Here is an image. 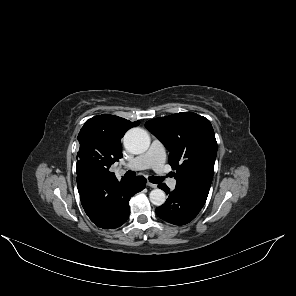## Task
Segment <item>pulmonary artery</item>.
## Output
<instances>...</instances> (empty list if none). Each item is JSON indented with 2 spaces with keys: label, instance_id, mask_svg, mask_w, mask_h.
I'll list each match as a JSON object with an SVG mask.
<instances>
[{
  "label": "pulmonary artery",
  "instance_id": "pulmonary-artery-1",
  "mask_svg": "<svg viewBox=\"0 0 296 296\" xmlns=\"http://www.w3.org/2000/svg\"><path fill=\"white\" fill-rule=\"evenodd\" d=\"M165 162V149L163 144L154 139L150 145V148L146 153L138 156L126 164L119 167V170H143V169H153L157 173H162ZM166 179V177H165ZM167 185L169 188L174 189L176 187V179H167Z\"/></svg>",
  "mask_w": 296,
  "mask_h": 296
}]
</instances>
